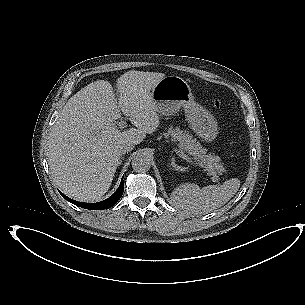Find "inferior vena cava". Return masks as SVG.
<instances>
[{
  "instance_id": "inferior-vena-cava-1",
  "label": "inferior vena cava",
  "mask_w": 305,
  "mask_h": 305,
  "mask_svg": "<svg viewBox=\"0 0 305 305\" xmlns=\"http://www.w3.org/2000/svg\"><path fill=\"white\" fill-rule=\"evenodd\" d=\"M135 144L130 140H124L119 145V150L121 154L128 153L133 150Z\"/></svg>"
}]
</instances>
